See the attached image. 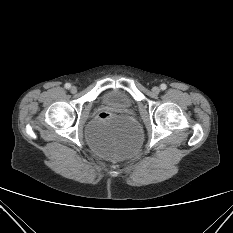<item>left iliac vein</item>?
<instances>
[{"label":"left iliac vein","mask_w":233,"mask_h":233,"mask_svg":"<svg viewBox=\"0 0 233 233\" xmlns=\"http://www.w3.org/2000/svg\"><path fill=\"white\" fill-rule=\"evenodd\" d=\"M152 92L155 93V94H158L160 92V88L155 86L152 88Z\"/></svg>","instance_id":"left-iliac-vein-1"}]
</instances>
